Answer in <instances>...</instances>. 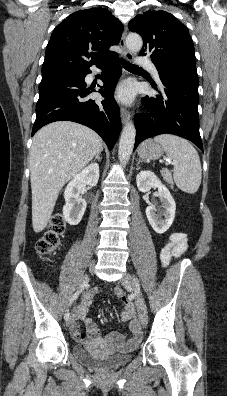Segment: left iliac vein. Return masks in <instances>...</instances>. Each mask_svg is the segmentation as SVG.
Masks as SVG:
<instances>
[{
    "label": "left iliac vein",
    "mask_w": 227,
    "mask_h": 396,
    "mask_svg": "<svg viewBox=\"0 0 227 396\" xmlns=\"http://www.w3.org/2000/svg\"><path fill=\"white\" fill-rule=\"evenodd\" d=\"M121 284L125 288L130 289L134 293L135 302H136V305L138 308L140 323L142 324V326H146L147 322H148L147 307H146V303H145L143 294H142L138 284L135 282V280L129 274H125L123 276V278L121 279Z\"/></svg>",
    "instance_id": "left-iliac-vein-1"
}]
</instances>
